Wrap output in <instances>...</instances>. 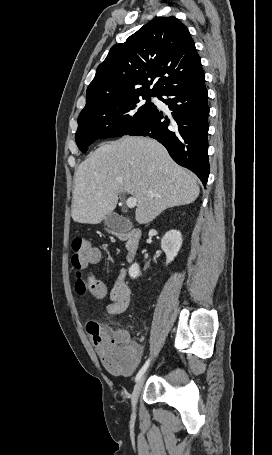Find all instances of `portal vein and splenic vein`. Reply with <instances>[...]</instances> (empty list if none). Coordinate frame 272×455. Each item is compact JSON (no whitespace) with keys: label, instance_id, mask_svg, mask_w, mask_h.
<instances>
[{"label":"portal vein and splenic vein","instance_id":"1","mask_svg":"<svg viewBox=\"0 0 272 455\" xmlns=\"http://www.w3.org/2000/svg\"><path fill=\"white\" fill-rule=\"evenodd\" d=\"M126 205L128 208H134L137 205V199L135 197H128L126 199Z\"/></svg>","mask_w":272,"mask_h":455}]
</instances>
